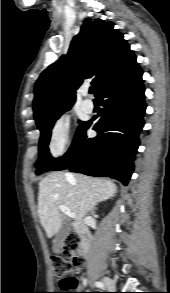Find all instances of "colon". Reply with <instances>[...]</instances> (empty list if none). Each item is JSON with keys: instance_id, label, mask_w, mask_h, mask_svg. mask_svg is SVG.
I'll return each instance as SVG.
<instances>
[{"instance_id": "1", "label": "colon", "mask_w": 170, "mask_h": 293, "mask_svg": "<svg viewBox=\"0 0 170 293\" xmlns=\"http://www.w3.org/2000/svg\"><path fill=\"white\" fill-rule=\"evenodd\" d=\"M79 247V239L75 236H69L63 243V254L52 255L51 262L56 277L60 279L59 291L55 293H71L67 292L74 289L78 283L71 275L75 268H79L83 264V260L76 251Z\"/></svg>"}]
</instances>
